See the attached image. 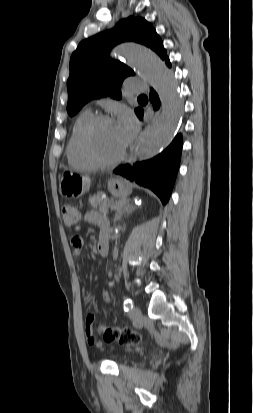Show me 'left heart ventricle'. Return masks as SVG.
<instances>
[{"mask_svg":"<svg viewBox=\"0 0 253 413\" xmlns=\"http://www.w3.org/2000/svg\"><path fill=\"white\" fill-rule=\"evenodd\" d=\"M92 145L96 154L103 159L115 158L125 147L114 122L100 124L94 130Z\"/></svg>","mask_w":253,"mask_h":413,"instance_id":"left-heart-ventricle-1","label":"left heart ventricle"}]
</instances>
